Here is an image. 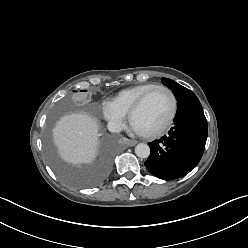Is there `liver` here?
I'll return each instance as SVG.
<instances>
[{
	"label": "liver",
	"instance_id": "6515ba94",
	"mask_svg": "<svg viewBox=\"0 0 248 248\" xmlns=\"http://www.w3.org/2000/svg\"><path fill=\"white\" fill-rule=\"evenodd\" d=\"M98 137L97 121L83 113L62 117L53 129L60 156L72 164L93 162L98 154Z\"/></svg>",
	"mask_w": 248,
	"mask_h": 248
}]
</instances>
